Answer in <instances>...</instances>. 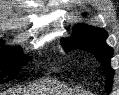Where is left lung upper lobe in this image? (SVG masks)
I'll return each mask as SVG.
<instances>
[{
  "mask_svg": "<svg viewBox=\"0 0 119 95\" xmlns=\"http://www.w3.org/2000/svg\"><path fill=\"white\" fill-rule=\"evenodd\" d=\"M106 31L85 24H78L74 28L71 38L63 39L62 45L66 50L83 49L96 55L97 60L101 63L106 75V92L110 93L114 70L110 66V59L113 49L106 44Z\"/></svg>",
  "mask_w": 119,
  "mask_h": 95,
  "instance_id": "obj_1",
  "label": "left lung upper lobe"
}]
</instances>
